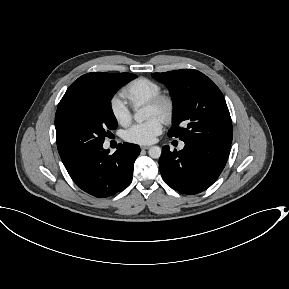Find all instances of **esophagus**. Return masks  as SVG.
Masks as SVG:
<instances>
[{
	"label": "esophagus",
	"mask_w": 289,
	"mask_h": 289,
	"mask_svg": "<svg viewBox=\"0 0 289 289\" xmlns=\"http://www.w3.org/2000/svg\"><path fill=\"white\" fill-rule=\"evenodd\" d=\"M140 148H141L142 150H147V149L150 148V146H149V145H144V146H141Z\"/></svg>",
	"instance_id": "obj_1"
}]
</instances>
